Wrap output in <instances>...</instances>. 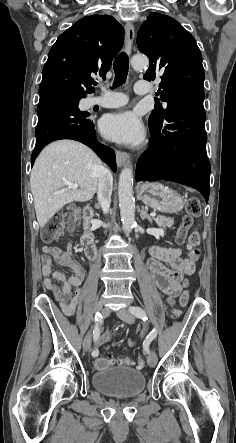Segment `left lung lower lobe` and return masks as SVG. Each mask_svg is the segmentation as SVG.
I'll return each instance as SVG.
<instances>
[{
	"label": "left lung lower lobe",
	"instance_id": "left-lung-lower-lobe-1",
	"mask_svg": "<svg viewBox=\"0 0 236 443\" xmlns=\"http://www.w3.org/2000/svg\"><path fill=\"white\" fill-rule=\"evenodd\" d=\"M203 103L185 102L166 112L159 124L149 122L152 145L137 162V181L170 180L197 189L206 202L210 163L206 156Z\"/></svg>",
	"mask_w": 236,
	"mask_h": 443
}]
</instances>
